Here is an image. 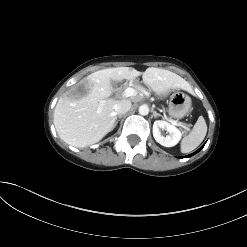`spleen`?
<instances>
[{"instance_id":"obj_1","label":"spleen","mask_w":247,"mask_h":247,"mask_svg":"<svg viewBox=\"0 0 247 247\" xmlns=\"http://www.w3.org/2000/svg\"><path fill=\"white\" fill-rule=\"evenodd\" d=\"M207 133V125L203 116H200L189 135L181 141V152L189 153L197 148L204 140Z\"/></svg>"}]
</instances>
